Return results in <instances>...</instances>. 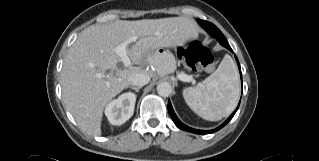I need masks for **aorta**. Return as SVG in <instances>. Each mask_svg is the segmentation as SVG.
I'll list each match as a JSON object with an SVG mask.
<instances>
[{
	"instance_id": "762f6f07",
	"label": "aorta",
	"mask_w": 319,
	"mask_h": 161,
	"mask_svg": "<svg viewBox=\"0 0 319 161\" xmlns=\"http://www.w3.org/2000/svg\"><path fill=\"white\" fill-rule=\"evenodd\" d=\"M172 92V87L168 82H161L157 85V93L162 97H168Z\"/></svg>"
}]
</instances>
